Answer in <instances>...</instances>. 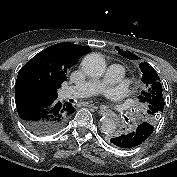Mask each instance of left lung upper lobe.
<instances>
[{
	"mask_svg": "<svg viewBox=\"0 0 177 177\" xmlns=\"http://www.w3.org/2000/svg\"><path fill=\"white\" fill-rule=\"evenodd\" d=\"M119 53L127 57L126 51L120 50ZM142 71L143 90L138 97L144 106L142 119L153 126L156 125L164 110L163 88L160 78L153 67L147 62L139 64Z\"/></svg>",
	"mask_w": 177,
	"mask_h": 177,
	"instance_id": "1",
	"label": "left lung upper lobe"
}]
</instances>
